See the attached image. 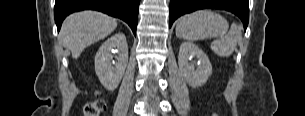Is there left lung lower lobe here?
<instances>
[{
  "mask_svg": "<svg viewBox=\"0 0 305 116\" xmlns=\"http://www.w3.org/2000/svg\"><path fill=\"white\" fill-rule=\"evenodd\" d=\"M216 8L230 11L243 22L246 30L249 20L248 0H171L169 26L181 15L198 9Z\"/></svg>",
  "mask_w": 305,
  "mask_h": 116,
  "instance_id": "obj_1",
  "label": "left lung lower lobe"
}]
</instances>
